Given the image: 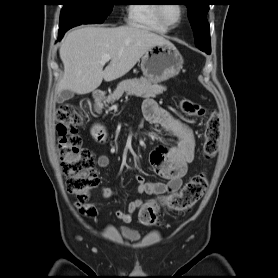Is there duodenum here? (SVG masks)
Returning a JSON list of instances; mask_svg holds the SVG:
<instances>
[{"instance_id":"1","label":"duodenum","mask_w":278,"mask_h":278,"mask_svg":"<svg viewBox=\"0 0 278 278\" xmlns=\"http://www.w3.org/2000/svg\"><path fill=\"white\" fill-rule=\"evenodd\" d=\"M104 92L101 90H95L92 94V102L93 104H99L103 98H104ZM92 135L98 139V140H102L104 138V130L100 125H94L92 127Z\"/></svg>"}]
</instances>
